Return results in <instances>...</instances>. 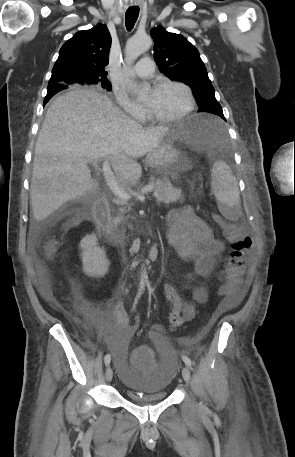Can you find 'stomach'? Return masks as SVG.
Listing matches in <instances>:
<instances>
[{
    "label": "stomach",
    "mask_w": 295,
    "mask_h": 457,
    "mask_svg": "<svg viewBox=\"0 0 295 457\" xmlns=\"http://www.w3.org/2000/svg\"><path fill=\"white\" fill-rule=\"evenodd\" d=\"M209 137L210 130L203 117L193 115L163 136L159 145L148 153L146 163L157 171L174 176L183 169L179 146L185 144L199 147L204 145Z\"/></svg>",
    "instance_id": "stomach-1"
}]
</instances>
